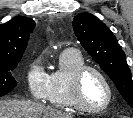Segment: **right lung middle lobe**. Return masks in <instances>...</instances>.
Masks as SVG:
<instances>
[{"instance_id":"right-lung-middle-lobe-1","label":"right lung middle lobe","mask_w":133,"mask_h":118,"mask_svg":"<svg viewBox=\"0 0 133 118\" xmlns=\"http://www.w3.org/2000/svg\"><path fill=\"white\" fill-rule=\"evenodd\" d=\"M17 61H0V97L10 92L17 85L11 72L17 66Z\"/></svg>"}]
</instances>
